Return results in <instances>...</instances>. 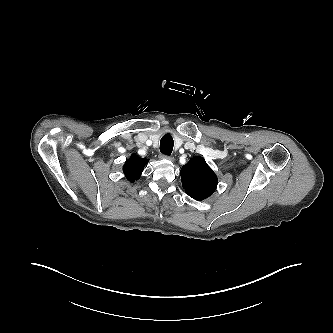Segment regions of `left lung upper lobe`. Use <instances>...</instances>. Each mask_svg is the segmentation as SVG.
<instances>
[{
  "label": "left lung upper lobe",
  "mask_w": 333,
  "mask_h": 333,
  "mask_svg": "<svg viewBox=\"0 0 333 333\" xmlns=\"http://www.w3.org/2000/svg\"><path fill=\"white\" fill-rule=\"evenodd\" d=\"M181 181L185 192L197 201L211 196L217 186V176L200 156L190 159L182 167Z\"/></svg>",
  "instance_id": "5c2ea615"
}]
</instances>
